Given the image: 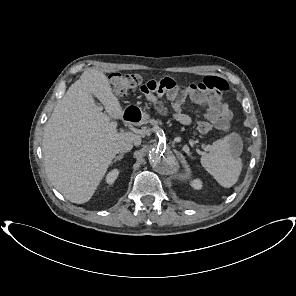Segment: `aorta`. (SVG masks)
<instances>
[{"instance_id": "obj_1", "label": "aorta", "mask_w": 296, "mask_h": 296, "mask_svg": "<svg viewBox=\"0 0 296 296\" xmlns=\"http://www.w3.org/2000/svg\"><path fill=\"white\" fill-rule=\"evenodd\" d=\"M148 156L151 166L161 173L171 172L176 169V156L166 147L160 146L152 148Z\"/></svg>"}]
</instances>
